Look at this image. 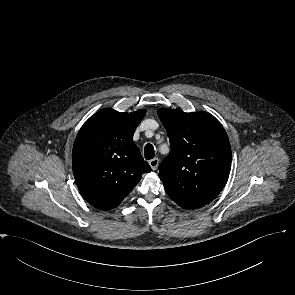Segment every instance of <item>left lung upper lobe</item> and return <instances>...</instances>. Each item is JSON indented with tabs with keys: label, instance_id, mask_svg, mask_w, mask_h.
<instances>
[{
	"label": "left lung upper lobe",
	"instance_id": "5c2ea615",
	"mask_svg": "<svg viewBox=\"0 0 295 295\" xmlns=\"http://www.w3.org/2000/svg\"><path fill=\"white\" fill-rule=\"evenodd\" d=\"M171 152L159 177L171 199L185 209L199 208L217 197L231 168V147L221 123L206 112L158 109Z\"/></svg>",
	"mask_w": 295,
	"mask_h": 295
}]
</instances>
